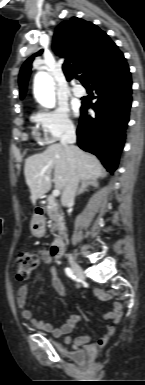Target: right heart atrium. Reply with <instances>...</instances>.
Wrapping results in <instances>:
<instances>
[{
	"label": "right heart atrium",
	"mask_w": 145,
	"mask_h": 385,
	"mask_svg": "<svg viewBox=\"0 0 145 385\" xmlns=\"http://www.w3.org/2000/svg\"><path fill=\"white\" fill-rule=\"evenodd\" d=\"M34 120L41 130L42 139L46 143H54L67 134L75 131L67 105H57L52 109H40Z\"/></svg>",
	"instance_id": "1"
}]
</instances>
